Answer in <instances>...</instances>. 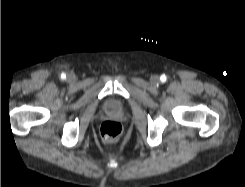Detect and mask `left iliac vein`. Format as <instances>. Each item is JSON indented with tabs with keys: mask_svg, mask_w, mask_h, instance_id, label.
<instances>
[{
	"mask_svg": "<svg viewBox=\"0 0 245 187\" xmlns=\"http://www.w3.org/2000/svg\"><path fill=\"white\" fill-rule=\"evenodd\" d=\"M150 81L152 84H157L159 82V77L157 75H153Z\"/></svg>",
	"mask_w": 245,
	"mask_h": 187,
	"instance_id": "obj_1",
	"label": "left iliac vein"
}]
</instances>
